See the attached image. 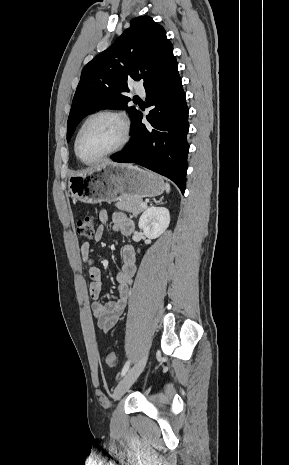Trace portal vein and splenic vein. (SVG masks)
I'll return each instance as SVG.
<instances>
[{
  "label": "portal vein and splenic vein",
  "mask_w": 289,
  "mask_h": 465,
  "mask_svg": "<svg viewBox=\"0 0 289 465\" xmlns=\"http://www.w3.org/2000/svg\"><path fill=\"white\" fill-rule=\"evenodd\" d=\"M142 206H143V207H146V206H147V203H146V202H143V203H142Z\"/></svg>",
  "instance_id": "18ae733b"
}]
</instances>
